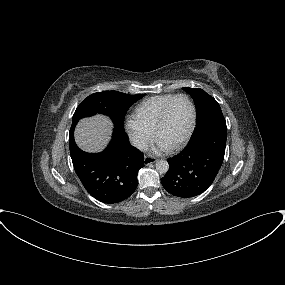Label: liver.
<instances>
[{"label": "liver", "mask_w": 285, "mask_h": 285, "mask_svg": "<svg viewBox=\"0 0 285 285\" xmlns=\"http://www.w3.org/2000/svg\"><path fill=\"white\" fill-rule=\"evenodd\" d=\"M111 121L102 115L82 119L75 130L77 145L87 152L102 151L110 140Z\"/></svg>", "instance_id": "1"}]
</instances>
